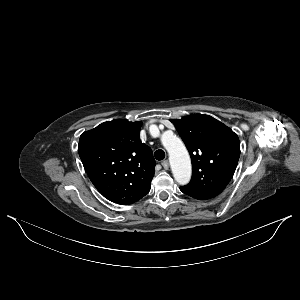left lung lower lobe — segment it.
Masks as SVG:
<instances>
[{
    "label": "left lung lower lobe",
    "mask_w": 300,
    "mask_h": 300,
    "mask_svg": "<svg viewBox=\"0 0 300 300\" xmlns=\"http://www.w3.org/2000/svg\"><path fill=\"white\" fill-rule=\"evenodd\" d=\"M180 190H181L183 193H185V194H187V195H189V196H191V197H193V198H196V199H198V200H206V199L212 198V197H210V196H205V195H201V194L194 193V192H192V191H190V190L184 188L183 186L180 187Z\"/></svg>",
    "instance_id": "left-lung-lower-lobe-1"
}]
</instances>
